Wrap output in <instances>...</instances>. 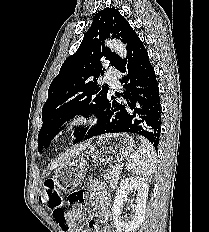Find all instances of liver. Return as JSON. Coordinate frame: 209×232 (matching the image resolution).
<instances>
[{"label": "liver", "instance_id": "liver-1", "mask_svg": "<svg viewBox=\"0 0 209 232\" xmlns=\"http://www.w3.org/2000/svg\"><path fill=\"white\" fill-rule=\"evenodd\" d=\"M88 146H89V143H84V144L75 146L73 149L64 153L54 163H52L50 166V170H53V169L65 164V163L69 162L71 159H74L76 156H78L80 154V152L84 151Z\"/></svg>", "mask_w": 209, "mask_h": 232}]
</instances>
